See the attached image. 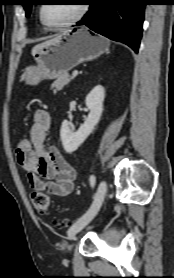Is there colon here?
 I'll list each match as a JSON object with an SVG mask.
<instances>
[{
  "label": "colon",
  "instance_id": "obj_1",
  "mask_svg": "<svg viewBox=\"0 0 174 278\" xmlns=\"http://www.w3.org/2000/svg\"><path fill=\"white\" fill-rule=\"evenodd\" d=\"M31 148L30 138H21L17 142V151L25 152ZM31 202L34 208L41 214H45L49 207V197L46 193L41 191H33L31 193Z\"/></svg>",
  "mask_w": 174,
  "mask_h": 278
}]
</instances>
